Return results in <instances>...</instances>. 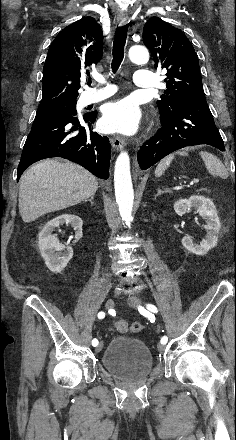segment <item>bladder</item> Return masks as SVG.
I'll list each match as a JSON object with an SVG mask.
<instances>
[{"label":"bladder","instance_id":"bladder-1","mask_svg":"<svg viewBox=\"0 0 236 440\" xmlns=\"http://www.w3.org/2000/svg\"><path fill=\"white\" fill-rule=\"evenodd\" d=\"M105 369L119 378L144 375L153 367V358L148 346L139 339L115 337L103 353Z\"/></svg>","mask_w":236,"mask_h":440}]
</instances>
